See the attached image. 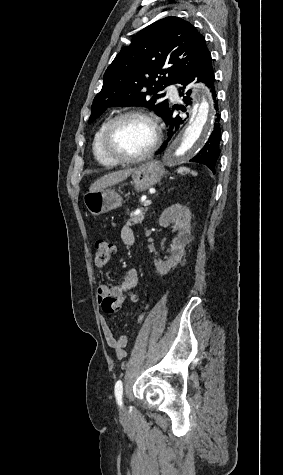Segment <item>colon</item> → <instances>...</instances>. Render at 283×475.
<instances>
[{
    "mask_svg": "<svg viewBox=\"0 0 283 475\" xmlns=\"http://www.w3.org/2000/svg\"><path fill=\"white\" fill-rule=\"evenodd\" d=\"M93 250L94 262L97 266L105 265L116 251L114 244L103 238H98L94 241ZM120 286L124 287L125 283L121 282ZM127 297L131 298L132 294L128 293ZM102 306L105 308L106 314H117L118 310L124 307L123 297L117 296L116 300L111 297H105L102 300Z\"/></svg>",
    "mask_w": 283,
    "mask_h": 475,
    "instance_id": "obj_1",
    "label": "colon"
}]
</instances>
